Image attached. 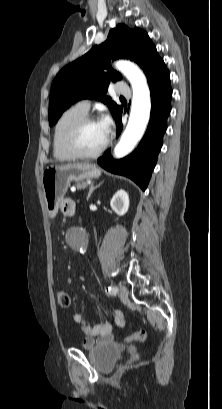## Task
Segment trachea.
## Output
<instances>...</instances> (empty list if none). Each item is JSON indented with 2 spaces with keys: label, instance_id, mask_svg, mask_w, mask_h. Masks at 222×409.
Instances as JSON below:
<instances>
[{
  "label": "trachea",
  "instance_id": "3493384b",
  "mask_svg": "<svg viewBox=\"0 0 222 409\" xmlns=\"http://www.w3.org/2000/svg\"><path fill=\"white\" fill-rule=\"evenodd\" d=\"M120 99H125L124 97H120Z\"/></svg>",
  "mask_w": 222,
  "mask_h": 409
}]
</instances>
